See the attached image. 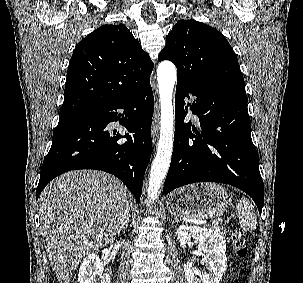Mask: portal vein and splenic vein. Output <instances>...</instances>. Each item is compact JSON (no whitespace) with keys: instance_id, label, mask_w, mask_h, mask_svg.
Listing matches in <instances>:
<instances>
[{"instance_id":"1","label":"portal vein and splenic vein","mask_w":303,"mask_h":283,"mask_svg":"<svg viewBox=\"0 0 303 283\" xmlns=\"http://www.w3.org/2000/svg\"><path fill=\"white\" fill-rule=\"evenodd\" d=\"M198 223H200V222H198ZM215 223H217V221H216V220L212 221V224H215Z\"/></svg>"}]
</instances>
